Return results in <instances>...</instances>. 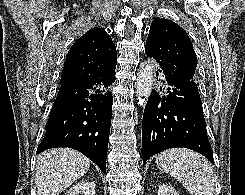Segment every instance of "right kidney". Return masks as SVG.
Returning <instances> with one entry per match:
<instances>
[{
    "mask_svg": "<svg viewBox=\"0 0 245 195\" xmlns=\"http://www.w3.org/2000/svg\"><path fill=\"white\" fill-rule=\"evenodd\" d=\"M66 195H95L94 182L82 181L73 185Z\"/></svg>",
    "mask_w": 245,
    "mask_h": 195,
    "instance_id": "1",
    "label": "right kidney"
}]
</instances>
